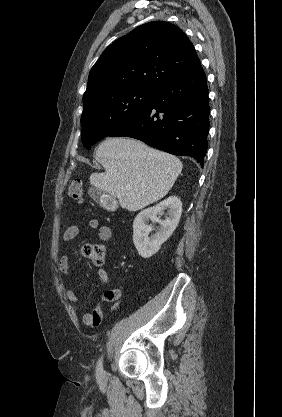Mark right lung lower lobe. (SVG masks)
Returning <instances> with one entry per match:
<instances>
[{"label":"right lung lower lobe","instance_id":"98d812e1","mask_svg":"<svg viewBox=\"0 0 282 417\" xmlns=\"http://www.w3.org/2000/svg\"><path fill=\"white\" fill-rule=\"evenodd\" d=\"M209 111L207 80L200 65L161 85L140 112L108 136L132 137L174 155L191 156L203 167Z\"/></svg>","mask_w":282,"mask_h":417}]
</instances>
